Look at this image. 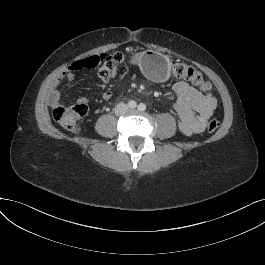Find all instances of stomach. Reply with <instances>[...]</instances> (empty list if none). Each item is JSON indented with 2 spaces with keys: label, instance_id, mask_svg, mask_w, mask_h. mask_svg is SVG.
<instances>
[{
  "label": "stomach",
  "instance_id": "1",
  "mask_svg": "<svg viewBox=\"0 0 265 265\" xmlns=\"http://www.w3.org/2000/svg\"><path fill=\"white\" fill-rule=\"evenodd\" d=\"M131 62L138 65L142 73L151 80L163 82L170 77V59L155 51L146 50L135 54Z\"/></svg>",
  "mask_w": 265,
  "mask_h": 265
}]
</instances>
